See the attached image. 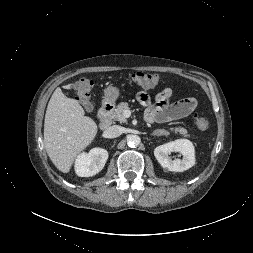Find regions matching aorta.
Segmentation results:
<instances>
[{"label":"aorta","mask_w":253,"mask_h":253,"mask_svg":"<svg viewBox=\"0 0 253 253\" xmlns=\"http://www.w3.org/2000/svg\"><path fill=\"white\" fill-rule=\"evenodd\" d=\"M141 139L138 135H129L127 137V143L129 147H136L140 144Z\"/></svg>","instance_id":"762f6f07"}]
</instances>
